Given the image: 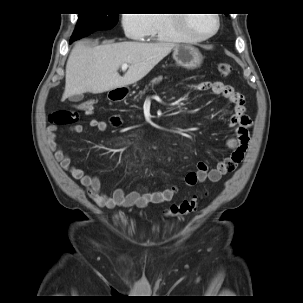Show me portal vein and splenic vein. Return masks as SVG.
Returning a JSON list of instances; mask_svg holds the SVG:
<instances>
[{
	"label": "portal vein and splenic vein",
	"mask_w": 303,
	"mask_h": 303,
	"mask_svg": "<svg viewBox=\"0 0 303 303\" xmlns=\"http://www.w3.org/2000/svg\"><path fill=\"white\" fill-rule=\"evenodd\" d=\"M128 67H129L128 64L126 63L122 64V71H126Z\"/></svg>",
	"instance_id": "18ae733b"
}]
</instances>
